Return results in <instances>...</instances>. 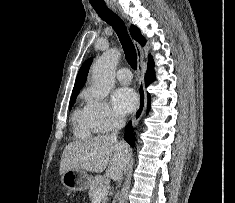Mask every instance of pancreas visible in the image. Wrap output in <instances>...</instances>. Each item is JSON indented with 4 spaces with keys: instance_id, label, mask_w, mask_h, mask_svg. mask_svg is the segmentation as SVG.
Listing matches in <instances>:
<instances>
[{
    "instance_id": "cf45deb5",
    "label": "pancreas",
    "mask_w": 235,
    "mask_h": 203,
    "mask_svg": "<svg viewBox=\"0 0 235 203\" xmlns=\"http://www.w3.org/2000/svg\"><path fill=\"white\" fill-rule=\"evenodd\" d=\"M107 181L105 180V178L103 176H96L93 180H92V184L90 186L89 189V198L92 200L95 193L106 187ZM108 198L104 197L102 199L101 203H107Z\"/></svg>"
}]
</instances>
